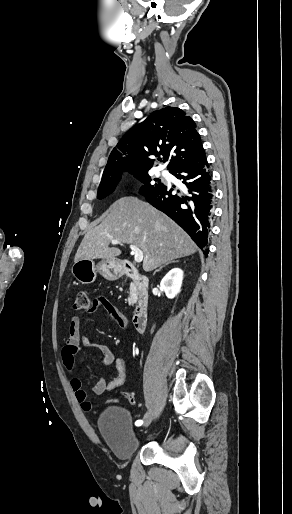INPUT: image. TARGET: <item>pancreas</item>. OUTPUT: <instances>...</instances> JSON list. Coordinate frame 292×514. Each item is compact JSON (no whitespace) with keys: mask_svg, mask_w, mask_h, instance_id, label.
<instances>
[{"mask_svg":"<svg viewBox=\"0 0 292 514\" xmlns=\"http://www.w3.org/2000/svg\"><path fill=\"white\" fill-rule=\"evenodd\" d=\"M131 286H133L134 292H130V294H129V298H128L129 306H133V304H136V302L138 300L136 286H135V284H131Z\"/></svg>","mask_w":292,"mask_h":514,"instance_id":"obj_1","label":"pancreas"}]
</instances>
